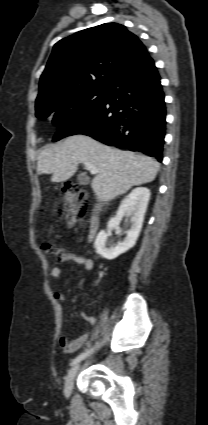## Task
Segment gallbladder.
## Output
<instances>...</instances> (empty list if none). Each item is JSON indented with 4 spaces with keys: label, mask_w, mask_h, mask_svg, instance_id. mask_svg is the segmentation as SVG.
<instances>
[{
    "label": "gallbladder",
    "mask_w": 208,
    "mask_h": 425,
    "mask_svg": "<svg viewBox=\"0 0 208 425\" xmlns=\"http://www.w3.org/2000/svg\"><path fill=\"white\" fill-rule=\"evenodd\" d=\"M77 179H78V181H79L80 184H83V185L88 184V179H87V177L85 176L84 173H80L78 175Z\"/></svg>",
    "instance_id": "bac80fb5"
}]
</instances>
